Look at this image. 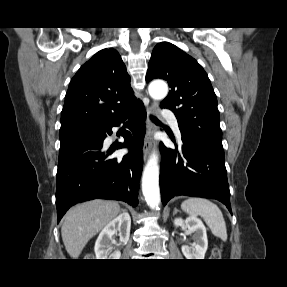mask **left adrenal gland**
Segmentation results:
<instances>
[{
	"mask_svg": "<svg viewBox=\"0 0 287 287\" xmlns=\"http://www.w3.org/2000/svg\"><path fill=\"white\" fill-rule=\"evenodd\" d=\"M178 212V209L175 207L173 211V215H175Z\"/></svg>",
	"mask_w": 287,
	"mask_h": 287,
	"instance_id": "1",
	"label": "left adrenal gland"
}]
</instances>
